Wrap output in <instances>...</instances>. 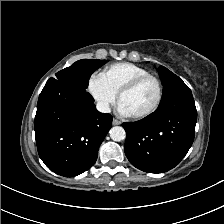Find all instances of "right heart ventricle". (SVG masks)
<instances>
[{
    "label": "right heart ventricle",
    "instance_id": "e07e8e85",
    "mask_svg": "<svg viewBox=\"0 0 224 224\" xmlns=\"http://www.w3.org/2000/svg\"><path fill=\"white\" fill-rule=\"evenodd\" d=\"M146 74H149V71L143 67L129 62H120L106 67L101 72V77L114 93H118L128 81Z\"/></svg>",
    "mask_w": 224,
    "mask_h": 224
}]
</instances>
